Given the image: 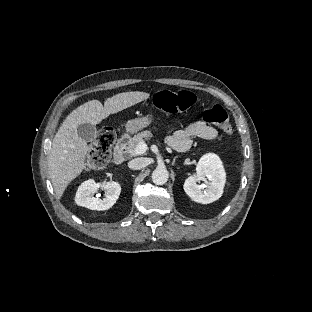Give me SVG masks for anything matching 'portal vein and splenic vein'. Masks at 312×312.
<instances>
[{
    "label": "portal vein and splenic vein",
    "instance_id": "obj_1",
    "mask_svg": "<svg viewBox=\"0 0 312 312\" xmlns=\"http://www.w3.org/2000/svg\"><path fill=\"white\" fill-rule=\"evenodd\" d=\"M146 150L147 144L144 141H141L135 149V155L143 154L144 152H146Z\"/></svg>",
    "mask_w": 312,
    "mask_h": 312
}]
</instances>
